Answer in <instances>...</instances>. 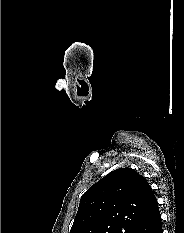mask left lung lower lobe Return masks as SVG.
Wrapping results in <instances>:
<instances>
[{"label": "left lung lower lobe", "mask_w": 184, "mask_h": 233, "mask_svg": "<svg viewBox=\"0 0 184 233\" xmlns=\"http://www.w3.org/2000/svg\"><path fill=\"white\" fill-rule=\"evenodd\" d=\"M136 233H163L158 203L154 195Z\"/></svg>", "instance_id": "left-lung-lower-lobe-1"}]
</instances>
